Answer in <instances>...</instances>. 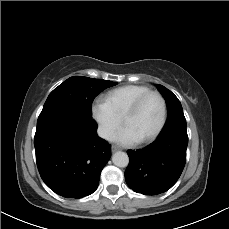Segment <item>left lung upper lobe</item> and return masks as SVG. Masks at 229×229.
<instances>
[{"label":"left lung upper lobe","mask_w":229,"mask_h":229,"mask_svg":"<svg viewBox=\"0 0 229 229\" xmlns=\"http://www.w3.org/2000/svg\"><path fill=\"white\" fill-rule=\"evenodd\" d=\"M158 90L163 95L168 110V118L162 134L173 130L178 126L186 127V119L183 114V109L178 98L167 88L158 85Z\"/></svg>","instance_id":"left-lung-upper-lobe-1"}]
</instances>
